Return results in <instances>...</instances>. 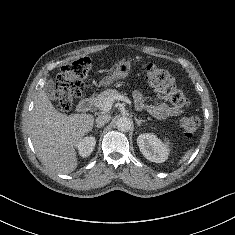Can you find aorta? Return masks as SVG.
Instances as JSON below:
<instances>
[{
    "label": "aorta",
    "mask_w": 235,
    "mask_h": 235,
    "mask_svg": "<svg viewBox=\"0 0 235 235\" xmlns=\"http://www.w3.org/2000/svg\"><path fill=\"white\" fill-rule=\"evenodd\" d=\"M116 125H117V129L119 131H122V132H126V131H129L131 126H132V122L129 118L127 117H120L117 122H116Z\"/></svg>",
    "instance_id": "762f6f07"
}]
</instances>
